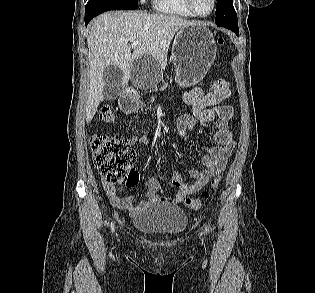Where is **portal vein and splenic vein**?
<instances>
[{
    "label": "portal vein and splenic vein",
    "mask_w": 315,
    "mask_h": 293,
    "mask_svg": "<svg viewBox=\"0 0 315 293\" xmlns=\"http://www.w3.org/2000/svg\"><path fill=\"white\" fill-rule=\"evenodd\" d=\"M138 45V41H134L132 44H131V48L134 49L136 48Z\"/></svg>",
    "instance_id": "1"
}]
</instances>
